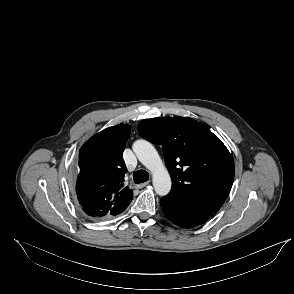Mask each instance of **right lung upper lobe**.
Here are the masks:
<instances>
[{
	"instance_id": "right-lung-upper-lobe-1",
	"label": "right lung upper lobe",
	"mask_w": 294,
	"mask_h": 294,
	"mask_svg": "<svg viewBox=\"0 0 294 294\" xmlns=\"http://www.w3.org/2000/svg\"><path fill=\"white\" fill-rule=\"evenodd\" d=\"M130 131V126L125 124L109 127L91 137L79 151L76 192L89 216L118 215L132 201V190L123 187L127 172L123 151Z\"/></svg>"
}]
</instances>
